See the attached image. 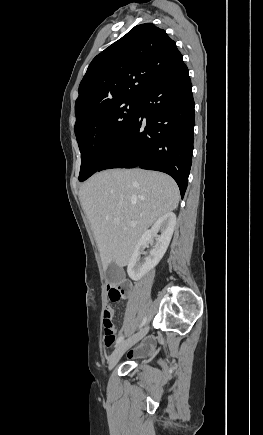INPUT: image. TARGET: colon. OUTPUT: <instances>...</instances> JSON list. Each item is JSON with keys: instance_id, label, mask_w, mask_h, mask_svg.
Returning <instances> with one entry per match:
<instances>
[{"instance_id": "5ec220e1", "label": "colon", "mask_w": 263, "mask_h": 435, "mask_svg": "<svg viewBox=\"0 0 263 435\" xmlns=\"http://www.w3.org/2000/svg\"><path fill=\"white\" fill-rule=\"evenodd\" d=\"M126 287L111 284L108 286V298L111 302H117L123 299ZM104 342L107 350L114 348L115 328L112 321V315L109 311L104 312Z\"/></svg>"}]
</instances>
